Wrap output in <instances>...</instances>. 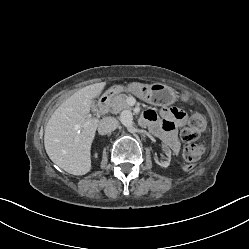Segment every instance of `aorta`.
I'll use <instances>...</instances> for the list:
<instances>
[{
  "label": "aorta",
  "instance_id": "1",
  "mask_svg": "<svg viewBox=\"0 0 249 249\" xmlns=\"http://www.w3.org/2000/svg\"><path fill=\"white\" fill-rule=\"evenodd\" d=\"M120 120L122 124L128 128L132 127L133 125V117L130 111H124L120 116Z\"/></svg>",
  "mask_w": 249,
  "mask_h": 249
}]
</instances>
